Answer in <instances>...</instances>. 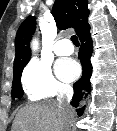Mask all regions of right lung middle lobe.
<instances>
[{
  "label": "right lung middle lobe",
  "instance_id": "obj_1",
  "mask_svg": "<svg viewBox=\"0 0 117 131\" xmlns=\"http://www.w3.org/2000/svg\"><path fill=\"white\" fill-rule=\"evenodd\" d=\"M24 67L19 68L13 75L12 83V98H21L23 96V89L21 86V74Z\"/></svg>",
  "mask_w": 117,
  "mask_h": 131
}]
</instances>
